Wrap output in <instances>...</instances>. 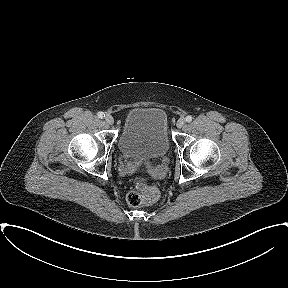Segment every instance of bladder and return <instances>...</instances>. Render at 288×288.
<instances>
[{
    "instance_id": "1",
    "label": "bladder",
    "mask_w": 288,
    "mask_h": 288,
    "mask_svg": "<svg viewBox=\"0 0 288 288\" xmlns=\"http://www.w3.org/2000/svg\"><path fill=\"white\" fill-rule=\"evenodd\" d=\"M122 154L133 158H158L170 148L167 116L156 107H137L129 111L118 139Z\"/></svg>"
}]
</instances>
